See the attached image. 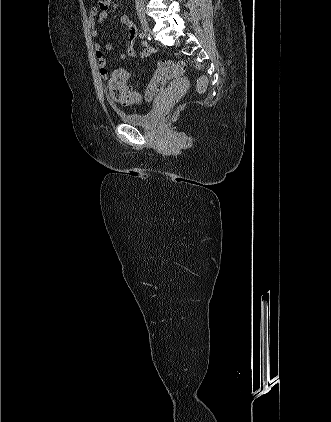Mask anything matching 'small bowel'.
<instances>
[{"mask_svg": "<svg viewBox=\"0 0 331 422\" xmlns=\"http://www.w3.org/2000/svg\"><path fill=\"white\" fill-rule=\"evenodd\" d=\"M113 0H96V4L93 5L89 11L88 15V24L91 29V35L96 38L99 35V32L96 28L97 23L103 24L107 20L108 17V11L112 4ZM121 23L125 26V29H122V32L124 33L126 37L127 42V48L126 50L121 53L120 58L121 59H127L132 58L136 56V51L134 48L135 39L137 37V28L132 21V19L127 15H123L121 17ZM94 49L96 53V59L97 64L99 68V72L101 77L108 82L110 74L107 68V59L105 58L104 52L110 51L113 49L112 44L106 43L105 45H102L99 42H96L94 44ZM152 52L151 47L147 44V42L143 41L141 43V50L139 52V55L141 58L148 57ZM163 86L162 80H154L149 85L150 93L153 94L160 90ZM124 104H130L132 103V100L124 101Z\"/></svg>", "mask_w": 331, "mask_h": 422, "instance_id": "c3829d8e", "label": "small bowel"}]
</instances>
